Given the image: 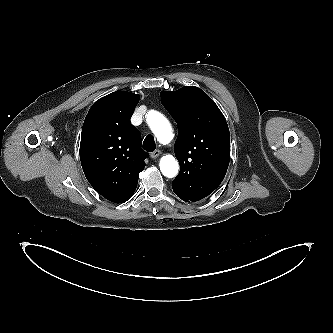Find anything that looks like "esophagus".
Listing matches in <instances>:
<instances>
[{"mask_svg":"<svg viewBox=\"0 0 333 333\" xmlns=\"http://www.w3.org/2000/svg\"><path fill=\"white\" fill-rule=\"evenodd\" d=\"M161 155V151L160 150H155L153 152L150 153V157L152 159H156L157 157H159Z\"/></svg>","mask_w":333,"mask_h":333,"instance_id":"obj_1","label":"esophagus"}]
</instances>
